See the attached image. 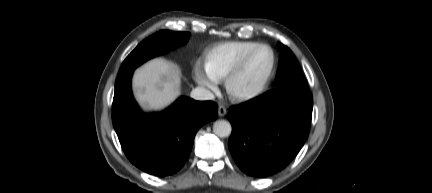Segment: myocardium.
<instances>
[{
    "instance_id": "1",
    "label": "myocardium",
    "mask_w": 432,
    "mask_h": 193,
    "mask_svg": "<svg viewBox=\"0 0 432 193\" xmlns=\"http://www.w3.org/2000/svg\"><path fill=\"white\" fill-rule=\"evenodd\" d=\"M262 48H267L270 50L272 54V64L270 67V70L263 81V83L257 87L254 90L251 91H239L235 88L234 82L236 78L239 76V74L243 71V69L246 67L250 59L253 57V55L259 51ZM277 66V57L274 49L268 45V44H259L253 49H251L248 53H246L240 61L232 68V70L227 74L225 77V88L229 95V97L234 101L238 103L251 101L259 96H261L269 87Z\"/></svg>"
}]
</instances>
